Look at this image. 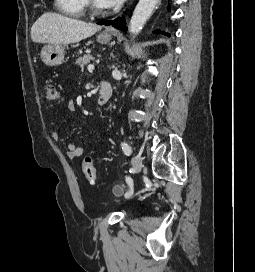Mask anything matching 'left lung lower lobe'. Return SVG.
Listing matches in <instances>:
<instances>
[{"instance_id": "0a47b994", "label": "left lung lower lobe", "mask_w": 255, "mask_h": 272, "mask_svg": "<svg viewBox=\"0 0 255 272\" xmlns=\"http://www.w3.org/2000/svg\"><path fill=\"white\" fill-rule=\"evenodd\" d=\"M99 25H112L117 29L123 30V31H127L126 25H125V21L124 19H115L114 21H102V22H98ZM154 33H159L157 31H154ZM164 35L166 36H170L168 33L166 34L165 32H163Z\"/></svg>"}]
</instances>
